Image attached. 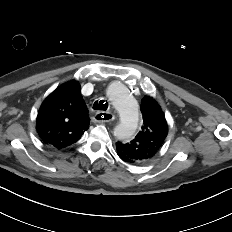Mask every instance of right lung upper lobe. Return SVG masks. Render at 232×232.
<instances>
[{"instance_id":"right-lung-upper-lobe-1","label":"right lung upper lobe","mask_w":232,"mask_h":232,"mask_svg":"<svg viewBox=\"0 0 232 232\" xmlns=\"http://www.w3.org/2000/svg\"><path fill=\"white\" fill-rule=\"evenodd\" d=\"M89 124L80 84L71 80L44 100L38 111L36 130L44 144L60 150L77 142Z\"/></svg>"}]
</instances>
